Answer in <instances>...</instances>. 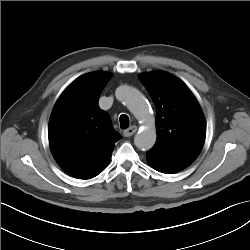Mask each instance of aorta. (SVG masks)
<instances>
[{
  "mask_svg": "<svg viewBox=\"0 0 250 250\" xmlns=\"http://www.w3.org/2000/svg\"><path fill=\"white\" fill-rule=\"evenodd\" d=\"M116 96L129 108L143 126L134 137L136 147L141 150L151 149L156 142L157 134L155 119L147 101L137 89L126 85L117 89Z\"/></svg>",
  "mask_w": 250,
  "mask_h": 250,
  "instance_id": "1",
  "label": "aorta"
}]
</instances>
